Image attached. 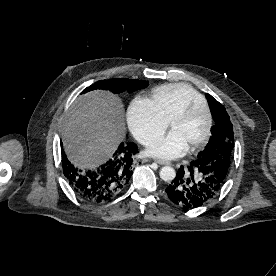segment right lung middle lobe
I'll return each mask as SVG.
<instances>
[{
    "instance_id": "1",
    "label": "right lung middle lobe",
    "mask_w": 276,
    "mask_h": 276,
    "mask_svg": "<svg viewBox=\"0 0 276 276\" xmlns=\"http://www.w3.org/2000/svg\"><path fill=\"white\" fill-rule=\"evenodd\" d=\"M147 85H148V82L146 81L116 78V79L98 81L95 84L87 87L82 93H86L96 89L109 90L113 93H121L124 91H128L130 93L135 90L145 88Z\"/></svg>"
}]
</instances>
